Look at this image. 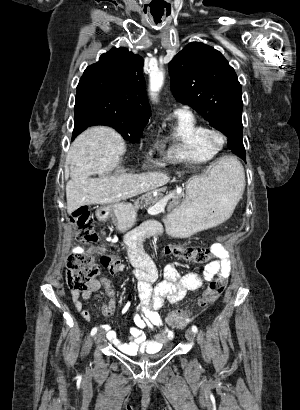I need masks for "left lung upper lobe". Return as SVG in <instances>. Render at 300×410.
Listing matches in <instances>:
<instances>
[{
  "label": "left lung upper lobe",
  "instance_id": "1",
  "mask_svg": "<svg viewBox=\"0 0 300 410\" xmlns=\"http://www.w3.org/2000/svg\"><path fill=\"white\" fill-rule=\"evenodd\" d=\"M175 98L201 113L229 139L228 147L246 159L242 137V90L224 56L203 43L192 42L169 62Z\"/></svg>",
  "mask_w": 300,
  "mask_h": 410
}]
</instances>
